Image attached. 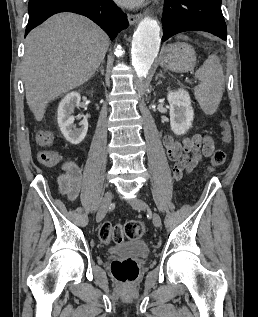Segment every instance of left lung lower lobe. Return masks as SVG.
<instances>
[{
    "instance_id": "1",
    "label": "left lung lower lobe",
    "mask_w": 258,
    "mask_h": 317,
    "mask_svg": "<svg viewBox=\"0 0 258 317\" xmlns=\"http://www.w3.org/2000/svg\"><path fill=\"white\" fill-rule=\"evenodd\" d=\"M162 24V41L184 31H206L227 39L221 0H165Z\"/></svg>"
}]
</instances>
